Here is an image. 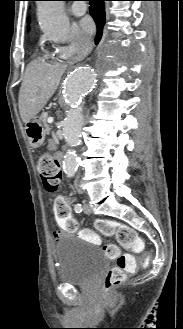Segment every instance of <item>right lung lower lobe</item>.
Wrapping results in <instances>:
<instances>
[{
    "label": "right lung lower lobe",
    "instance_id": "98d812e1",
    "mask_svg": "<svg viewBox=\"0 0 183 329\" xmlns=\"http://www.w3.org/2000/svg\"><path fill=\"white\" fill-rule=\"evenodd\" d=\"M104 1L106 0H90L89 12L97 26V34L95 39L96 44L100 41L102 37L103 26L106 21Z\"/></svg>",
    "mask_w": 183,
    "mask_h": 329
}]
</instances>
